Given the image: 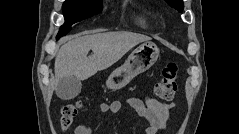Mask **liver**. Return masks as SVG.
Wrapping results in <instances>:
<instances>
[{
	"label": "liver",
	"instance_id": "6515ba94",
	"mask_svg": "<svg viewBox=\"0 0 239 134\" xmlns=\"http://www.w3.org/2000/svg\"><path fill=\"white\" fill-rule=\"evenodd\" d=\"M150 37L132 32H107L77 37L64 44L55 59V86L65 77L86 80L119 61ZM93 55L87 57L89 51Z\"/></svg>",
	"mask_w": 239,
	"mask_h": 134
}]
</instances>
